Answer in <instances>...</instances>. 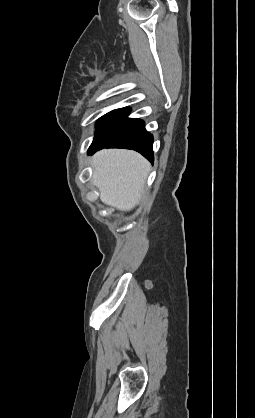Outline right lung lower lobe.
<instances>
[{
	"label": "right lung lower lobe",
	"instance_id": "98d812e1",
	"mask_svg": "<svg viewBox=\"0 0 255 418\" xmlns=\"http://www.w3.org/2000/svg\"><path fill=\"white\" fill-rule=\"evenodd\" d=\"M129 112L128 108L116 109L97 121L89 154L102 148H126L138 151L153 161V136L146 131L142 120L127 118Z\"/></svg>",
	"mask_w": 255,
	"mask_h": 418
}]
</instances>
